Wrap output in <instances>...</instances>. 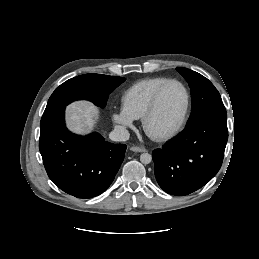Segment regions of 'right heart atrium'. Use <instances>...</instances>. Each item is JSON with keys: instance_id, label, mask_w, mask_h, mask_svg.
Listing matches in <instances>:
<instances>
[{"instance_id": "d8ad5b80", "label": "right heart atrium", "mask_w": 259, "mask_h": 259, "mask_svg": "<svg viewBox=\"0 0 259 259\" xmlns=\"http://www.w3.org/2000/svg\"><path fill=\"white\" fill-rule=\"evenodd\" d=\"M112 121L118 129L126 131L134 127L135 119L126 113L123 108H116L112 112Z\"/></svg>"}]
</instances>
